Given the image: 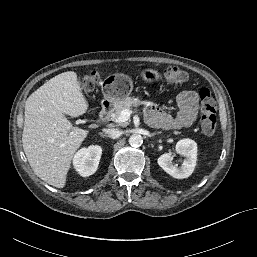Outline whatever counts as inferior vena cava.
<instances>
[{"mask_svg": "<svg viewBox=\"0 0 257 257\" xmlns=\"http://www.w3.org/2000/svg\"><path fill=\"white\" fill-rule=\"evenodd\" d=\"M103 132L112 139H117L121 136V132L118 129H103Z\"/></svg>", "mask_w": 257, "mask_h": 257, "instance_id": "1", "label": "inferior vena cava"}]
</instances>
